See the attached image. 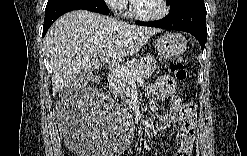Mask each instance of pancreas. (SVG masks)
Instances as JSON below:
<instances>
[{
  "instance_id": "cf45deb5",
  "label": "pancreas",
  "mask_w": 247,
  "mask_h": 156,
  "mask_svg": "<svg viewBox=\"0 0 247 156\" xmlns=\"http://www.w3.org/2000/svg\"><path fill=\"white\" fill-rule=\"evenodd\" d=\"M126 67L130 68L132 71H138L139 77L142 79H148L157 68V60L151 55H147L133 64L126 65ZM109 80L111 83L110 90L115 94L124 98H129L131 96V79L128 76L113 73Z\"/></svg>"
}]
</instances>
